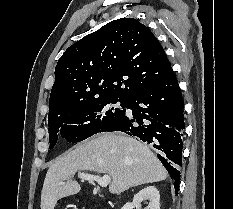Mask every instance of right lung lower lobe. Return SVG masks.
Wrapping results in <instances>:
<instances>
[{
	"mask_svg": "<svg viewBox=\"0 0 233 209\" xmlns=\"http://www.w3.org/2000/svg\"><path fill=\"white\" fill-rule=\"evenodd\" d=\"M126 108L133 111L132 116L125 113L105 131H122L154 147L178 194L185 125L183 98L172 68L157 84L129 97Z\"/></svg>",
	"mask_w": 233,
	"mask_h": 209,
	"instance_id": "right-lung-lower-lobe-1",
	"label": "right lung lower lobe"
}]
</instances>
